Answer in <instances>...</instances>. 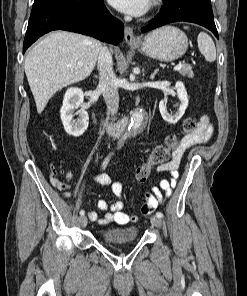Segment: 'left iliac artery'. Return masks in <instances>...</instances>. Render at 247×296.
Returning a JSON list of instances; mask_svg holds the SVG:
<instances>
[{"label":"left iliac artery","instance_id":"left-iliac-artery-1","mask_svg":"<svg viewBox=\"0 0 247 296\" xmlns=\"http://www.w3.org/2000/svg\"><path fill=\"white\" fill-rule=\"evenodd\" d=\"M156 216L159 217V218H163V214L161 212H157Z\"/></svg>","mask_w":247,"mask_h":296}]
</instances>
